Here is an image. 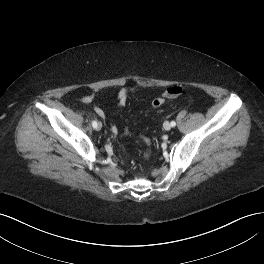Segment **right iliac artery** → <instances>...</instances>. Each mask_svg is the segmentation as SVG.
<instances>
[{"instance_id":"1","label":"right iliac artery","mask_w":264,"mask_h":264,"mask_svg":"<svg viewBox=\"0 0 264 264\" xmlns=\"http://www.w3.org/2000/svg\"><path fill=\"white\" fill-rule=\"evenodd\" d=\"M92 126H93V128L96 129V128H97V122H96V121H93V122H92Z\"/></svg>"}]
</instances>
